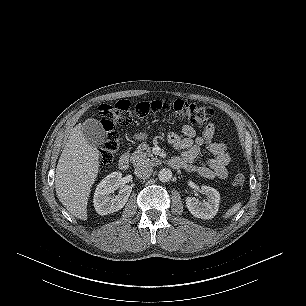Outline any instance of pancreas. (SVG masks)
<instances>
[{
	"label": "pancreas",
	"mask_w": 306,
	"mask_h": 306,
	"mask_svg": "<svg viewBox=\"0 0 306 306\" xmlns=\"http://www.w3.org/2000/svg\"><path fill=\"white\" fill-rule=\"evenodd\" d=\"M131 161L135 166L154 165L157 158L151 152V148L146 143H142L137 147L131 155Z\"/></svg>",
	"instance_id": "1"
}]
</instances>
